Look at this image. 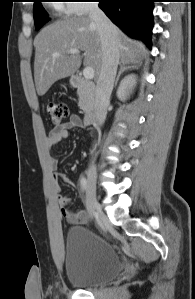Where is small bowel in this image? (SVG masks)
<instances>
[{
    "label": "small bowel",
    "instance_id": "1",
    "mask_svg": "<svg viewBox=\"0 0 195 299\" xmlns=\"http://www.w3.org/2000/svg\"><path fill=\"white\" fill-rule=\"evenodd\" d=\"M75 127H83L81 119L78 115L73 114L70 116L69 120L65 123H62L56 127H54L47 138V145L49 148H53L66 140L68 137L69 130ZM49 166L52 170V175L55 180V192L57 194V200L60 207L61 215L67 219V221L71 224H83L87 222V214L85 211H77L74 212L70 208L69 199L62 194L61 187L59 185V181L68 182V177L60 172L57 167V161L54 158L49 159Z\"/></svg>",
    "mask_w": 195,
    "mask_h": 299
}]
</instances>
